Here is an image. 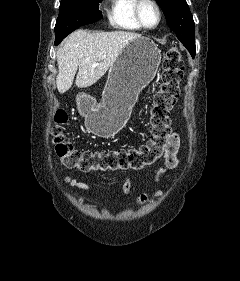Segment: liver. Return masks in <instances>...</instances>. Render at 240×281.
Listing matches in <instances>:
<instances>
[{"mask_svg":"<svg viewBox=\"0 0 240 281\" xmlns=\"http://www.w3.org/2000/svg\"><path fill=\"white\" fill-rule=\"evenodd\" d=\"M140 34L128 31L96 32L77 30L57 50L56 86L65 93L73 84L79 88L95 84L114 64L122 50ZM96 65V66H93Z\"/></svg>","mask_w":240,"mask_h":281,"instance_id":"1","label":"liver"}]
</instances>
